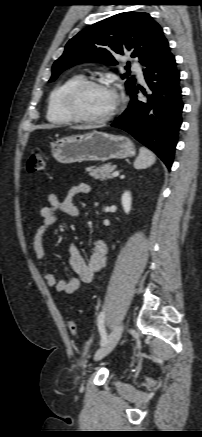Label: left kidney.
Returning a JSON list of instances; mask_svg holds the SVG:
<instances>
[{
    "label": "left kidney",
    "instance_id": "5707ae66",
    "mask_svg": "<svg viewBox=\"0 0 202 437\" xmlns=\"http://www.w3.org/2000/svg\"><path fill=\"white\" fill-rule=\"evenodd\" d=\"M131 203H132L131 194L129 191H125L122 195V198H121V204H122V207H123L125 213H127V214L131 210Z\"/></svg>",
    "mask_w": 202,
    "mask_h": 437
}]
</instances>
